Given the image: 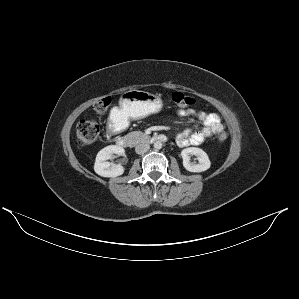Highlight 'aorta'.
<instances>
[{"label": "aorta", "mask_w": 299, "mask_h": 299, "mask_svg": "<svg viewBox=\"0 0 299 299\" xmlns=\"http://www.w3.org/2000/svg\"><path fill=\"white\" fill-rule=\"evenodd\" d=\"M154 148H155L156 150L161 149V148H162V142H161V141H155V142H154Z\"/></svg>", "instance_id": "762f6f07"}]
</instances>
